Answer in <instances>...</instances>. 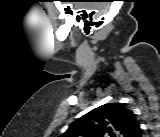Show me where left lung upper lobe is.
Returning a JSON list of instances; mask_svg holds the SVG:
<instances>
[{
  "instance_id": "5c2ea615",
  "label": "left lung upper lobe",
  "mask_w": 160,
  "mask_h": 137,
  "mask_svg": "<svg viewBox=\"0 0 160 137\" xmlns=\"http://www.w3.org/2000/svg\"><path fill=\"white\" fill-rule=\"evenodd\" d=\"M138 128L131 110L120 103H108L74 121L62 136L133 137Z\"/></svg>"
}]
</instances>
